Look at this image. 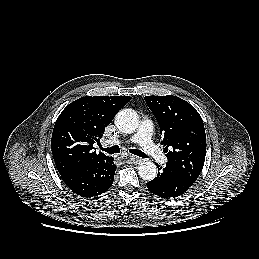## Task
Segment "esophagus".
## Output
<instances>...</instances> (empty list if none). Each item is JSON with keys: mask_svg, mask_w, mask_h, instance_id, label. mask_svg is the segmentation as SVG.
Instances as JSON below:
<instances>
[{"mask_svg": "<svg viewBox=\"0 0 259 259\" xmlns=\"http://www.w3.org/2000/svg\"><path fill=\"white\" fill-rule=\"evenodd\" d=\"M127 162L130 164H139L141 162V159L135 156H129L127 158Z\"/></svg>", "mask_w": 259, "mask_h": 259, "instance_id": "34e87169", "label": "esophagus"}]
</instances>
